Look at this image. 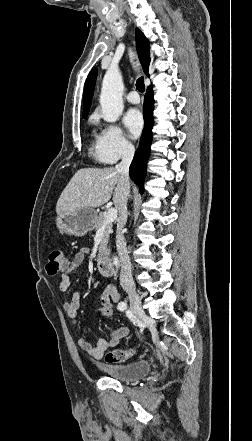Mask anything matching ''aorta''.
Segmentation results:
<instances>
[{
    "label": "aorta",
    "mask_w": 252,
    "mask_h": 441,
    "mask_svg": "<svg viewBox=\"0 0 252 441\" xmlns=\"http://www.w3.org/2000/svg\"><path fill=\"white\" fill-rule=\"evenodd\" d=\"M123 81L118 69L107 70L100 94V104L102 108V117L107 122H115L123 111ZM113 264L118 267L119 260L113 258Z\"/></svg>",
    "instance_id": "1"
}]
</instances>
